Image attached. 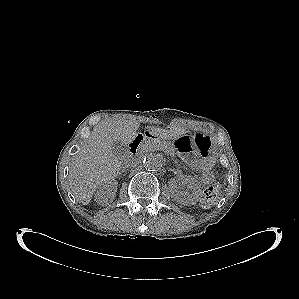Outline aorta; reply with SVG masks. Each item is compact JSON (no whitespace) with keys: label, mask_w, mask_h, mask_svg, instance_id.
<instances>
[{"label":"aorta","mask_w":299,"mask_h":299,"mask_svg":"<svg viewBox=\"0 0 299 299\" xmlns=\"http://www.w3.org/2000/svg\"><path fill=\"white\" fill-rule=\"evenodd\" d=\"M143 166L149 171H154L162 166V160L157 155L149 154L144 158Z\"/></svg>","instance_id":"aorta-1"}]
</instances>
